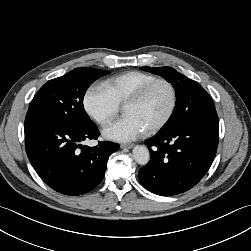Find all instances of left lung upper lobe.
I'll return each instance as SVG.
<instances>
[{
    "instance_id": "left-lung-upper-lobe-1",
    "label": "left lung upper lobe",
    "mask_w": 251,
    "mask_h": 251,
    "mask_svg": "<svg viewBox=\"0 0 251 251\" xmlns=\"http://www.w3.org/2000/svg\"><path fill=\"white\" fill-rule=\"evenodd\" d=\"M142 70L164 77L170 82L176 91V106L169 121L161 129L167 131L179 125L185 119L187 109L200 95H208L202 86L196 81L187 78L171 67H141Z\"/></svg>"
}]
</instances>
